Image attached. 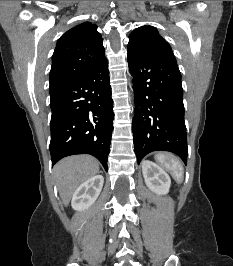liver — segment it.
I'll return each instance as SVG.
<instances>
[{
  "label": "liver",
  "instance_id": "obj_1",
  "mask_svg": "<svg viewBox=\"0 0 233 266\" xmlns=\"http://www.w3.org/2000/svg\"><path fill=\"white\" fill-rule=\"evenodd\" d=\"M99 172L98 161L89 155H75L62 159L54 167L59 195L65 206L75 190Z\"/></svg>",
  "mask_w": 233,
  "mask_h": 266
}]
</instances>
